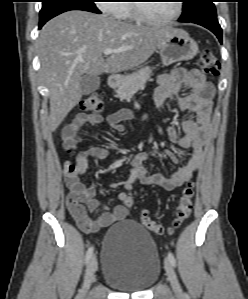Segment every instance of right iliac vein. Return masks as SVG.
Masks as SVG:
<instances>
[{
	"label": "right iliac vein",
	"instance_id": "right-iliac-vein-1",
	"mask_svg": "<svg viewBox=\"0 0 248 299\" xmlns=\"http://www.w3.org/2000/svg\"><path fill=\"white\" fill-rule=\"evenodd\" d=\"M96 270H97V259L95 256H93V257H91L89 264L87 266V269H86L84 283H83L82 292H81L82 296H85L86 293L88 292Z\"/></svg>",
	"mask_w": 248,
	"mask_h": 299
}]
</instances>
